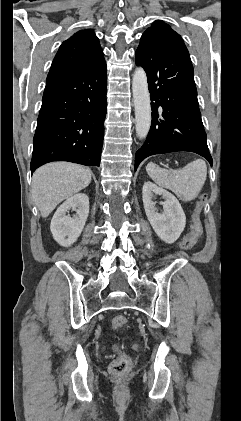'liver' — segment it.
<instances>
[{"label": "liver", "instance_id": "6515ba94", "mask_svg": "<svg viewBox=\"0 0 241 421\" xmlns=\"http://www.w3.org/2000/svg\"><path fill=\"white\" fill-rule=\"evenodd\" d=\"M91 170L68 162H53L38 168L32 177V196L43 218L63 200L86 188Z\"/></svg>", "mask_w": 241, "mask_h": 421}]
</instances>
